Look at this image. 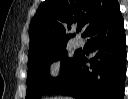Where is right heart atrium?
I'll use <instances>...</instances> for the list:
<instances>
[{"instance_id": "d8ad5b80", "label": "right heart atrium", "mask_w": 128, "mask_h": 99, "mask_svg": "<svg viewBox=\"0 0 128 99\" xmlns=\"http://www.w3.org/2000/svg\"><path fill=\"white\" fill-rule=\"evenodd\" d=\"M49 74L54 81L61 79L63 74V63L61 59L53 60L49 65Z\"/></svg>"}]
</instances>
